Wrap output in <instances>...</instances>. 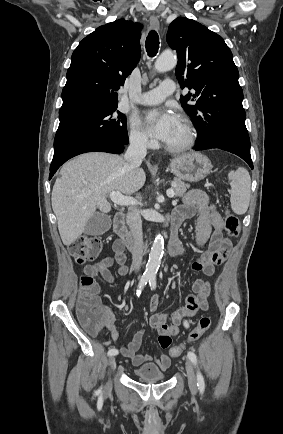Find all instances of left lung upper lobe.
<instances>
[{
  "mask_svg": "<svg viewBox=\"0 0 283 434\" xmlns=\"http://www.w3.org/2000/svg\"><path fill=\"white\" fill-rule=\"evenodd\" d=\"M167 42L178 53L179 84L193 90L180 101L194 121L197 145L250 151L239 72L223 38L194 20L178 17L169 25Z\"/></svg>",
  "mask_w": 283,
  "mask_h": 434,
  "instance_id": "5c2ea615",
  "label": "left lung upper lobe"
}]
</instances>
